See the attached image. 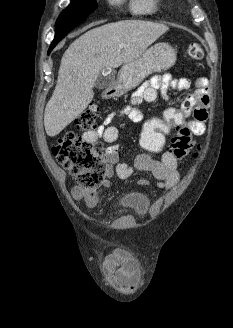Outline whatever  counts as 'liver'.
Masks as SVG:
<instances>
[{"label": "liver", "instance_id": "liver-1", "mask_svg": "<svg viewBox=\"0 0 233 328\" xmlns=\"http://www.w3.org/2000/svg\"><path fill=\"white\" fill-rule=\"evenodd\" d=\"M168 30L159 23L125 20L91 29L71 43L61 59L57 84L45 108L47 135H58L88 107L103 69L139 58ZM121 43L125 46L120 49Z\"/></svg>", "mask_w": 233, "mask_h": 328}]
</instances>
